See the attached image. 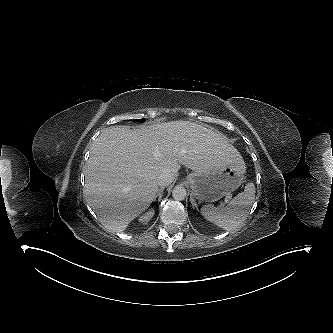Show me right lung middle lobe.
Returning a JSON list of instances; mask_svg holds the SVG:
<instances>
[{
	"label": "right lung middle lobe",
	"mask_w": 333,
	"mask_h": 333,
	"mask_svg": "<svg viewBox=\"0 0 333 333\" xmlns=\"http://www.w3.org/2000/svg\"><path fill=\"white\" fill-rule=\"evenodd\" d=\"M135 121H137V122H143V121H145L144 119H137V120H135Z\"/></svg>",
	"instance_id": "right-lung-middle-lobe-1"
}]
</instances>
